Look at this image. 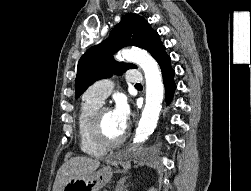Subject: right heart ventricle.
<instances>
[{"instance_id":"obj_1","label":"right heart ventricle","mask_w":251,"mask_h":191,"mask_svg":"<svg viewBox=\"0 0 251 191\" xmlns=\"http://www.w3.org/2000/svg\"><path fill=\"white\" fill-rule=\"evenodd\" d=\"M102 104L97 99L84 96L76 114V140L79 151L88 157L100 158L106 148L100 146L92 136L91 120L95 110Z\"/></svg>"}]
</instances>
